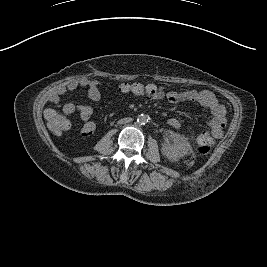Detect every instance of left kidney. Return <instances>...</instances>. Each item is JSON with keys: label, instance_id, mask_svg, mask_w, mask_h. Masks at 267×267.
<instances>
[{"label": "left kidney", "instance_id": "obj_1", "mask_svg": "<svg viewBox=\"0 0 267 267\" xmlns=\"http://www.w3.org/2000/svg\"><path fill=\"white\" fill-rule=\"evenodd\" d=\"M162 154L171 162H176L180 158V153L178 152V150L169 144L163 145Z\"/></svg>", "mask_w": 267, "mask_h": 267}]
</instances>
